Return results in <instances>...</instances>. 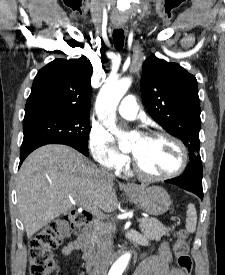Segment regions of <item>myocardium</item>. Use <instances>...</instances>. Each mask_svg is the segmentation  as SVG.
<instances>
[{"label": "myocardium", "instance_id": "1", "mask_svg": "<svg viewBox=\"0 0 225 275\" xmlns=\"http://www.w3.org/2000/svg\"><path fill=\"white\" fill-rule=\"evenodd\" d=\"M146 137L147 138H164V139L171 141L179 150L180 163H179L178 167L170 173L163 174V175H153V174H149V173L145 172L139 165L135 156L133 155L132 165H133V171L135 174H137L139 177L146 179V180L163 181V180L172 179V178L180 175L182 172H184V170L186 169V167L188 165V152H187V149H186L184 143L180 139H178L177 137H175L169 133L162 132V131H153V132L147 134Z\"/></svg>", "mask_w": 225, "mask_h": 275}]
</instances>
